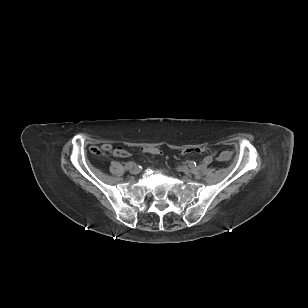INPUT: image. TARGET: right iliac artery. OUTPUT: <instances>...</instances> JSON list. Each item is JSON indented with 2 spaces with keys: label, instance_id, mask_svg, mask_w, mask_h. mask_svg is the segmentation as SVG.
<instances>
[{
  "label": "right iliac artery",
  "instance_id": "obj_1",
  "mask_svg": "<svg viewBox=\"0 0 308 308\" xmlns=\"http://www.w3.org/2000/svg\"><path fill=\"white\" fill-rule=\"evenodd\" d=\"M134 165H135L134 162H127V163L125 164L124 168H125L126 170H130V169H132V168L134 167Z\"/></svg>",
  "mask_w": 308,
  "mask_h": 308
}]
</instances>
